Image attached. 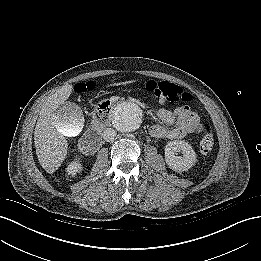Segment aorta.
I'll return each mask as SVG.
<instances>
[{
    "mask_svg": "<svg viewBox=\"0 0 261 261\" xmlns=\"http://www.w3.org/2000/svg\"><path fill=\"white\" fill-rule=\"evenodd\" d=\"M143 121L140 107L133 102H123L118 105L112 114V124L124 133L136 131Z\"/></svg>",
    "mask_w": 261,
    "mask_h": 261,
    "instance_id": "aorta-1",
    "label": "aorta"
}]
</instances>
